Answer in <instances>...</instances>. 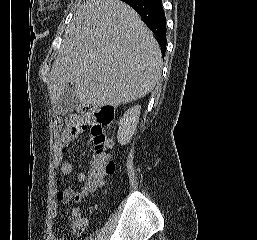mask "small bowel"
I'll return each mask as SVG.
<instances>
[{"instance_id":"obj_1","label":"small bowel","mask_w":257,"mask_h":240,"mask_svg":"<svg viewBox=\"0 0 257 240\" xmlns=\"http://www.w3.org/2000/svg\"><path fill=\"white\" fill-rule=\"evenodd\" d=\"M85 131V126L70 122L64 128L58 131L55 139V170L57 173L68 176L73 172V165L65 159V149L66 147L78 136H80ZM108 146L112 148L113 144L111 141L108 142ZM87 179V174L85 172H80L77 175V180L80 183H84ZM78 190L67 188L63 190H57L55 194V201L53 202L50 209V219L51 222L56 219L59 212V204L70 203ZM75 232H78L75 230ZM47 240H65L63 237L56 235L52 228L49 229Z\"/></svg>"}]
</instances>
